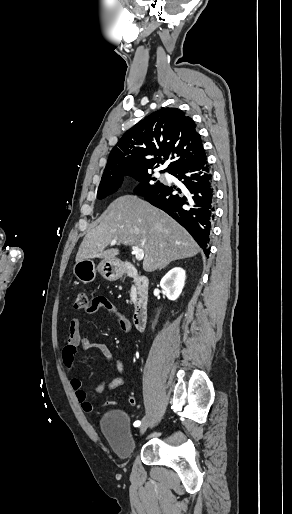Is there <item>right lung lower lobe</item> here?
Masks as SVG:
<instances>
[{"label":"right lung lower lobe","mask_w":292,"mask_h":514,"mask_svg":"<svg viewBox=\"0 0 292 514\" xmlns=\"http://www.w3.org/2000/svg\"><path fill=\"white\" fill-rule=\"evenodd\" d=\"M170 174L181 181L180 187L163 184L143 197L180 223L208 256L215 197L206 154Z\"/></svg>","instance_id":"obj_1"}]
</instances>
